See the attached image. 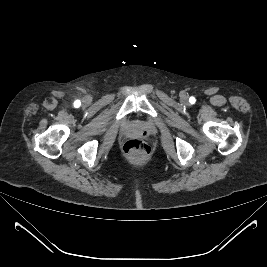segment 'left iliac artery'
<instances>
[{
    "label": "left iliac artery",
    "instance_id": "1",
    "mask_svg": "<svg viewBox=\"0 0 267 267\" xmlns=\"http://www.w3.org/2000/svg\"><path fill=\"white\" fill-rule=\"evenodd\" d=\"M189 101H190L191 103H194V102H195V98H194V97H191V98L189 99Z\"/></svg>",
    "mask_w": 267,
    "mask_h": 267
}]
</instances>
